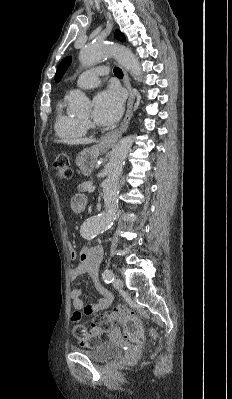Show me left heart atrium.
I'll return each mask as SVG.
<instances>
[{
	"label": "left heart atrium",
	"instance_id": "39dd6f15",
	"mask_svg": "<svg viewBox=\"0 0 232 399\" xmlns=\"http://www.w3.org/2000/svg\"><path fill=\"white\" fill-rule=\"evenodd\" d=\"M123 112V97L119 90L109 89L98 94L94 100L93 120L100 125H112Z\"/></svg>",
	"mask_w": 232,
	"mask_h": 399
}]
</instances>
